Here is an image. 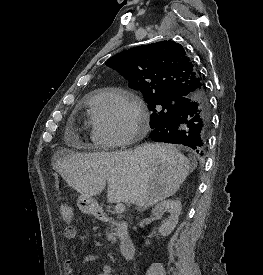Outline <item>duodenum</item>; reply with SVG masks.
<instances>
[{
  "mask_svg": "<svg viewBox=\"0 0 263 275\" xmlns=\"http://www.w3.org/2000/svg\"><path fill=\"white\" fill-rule=\"evenodd\" d=\"M102 219L104 221L113 223L119 232L120 238V252L123 258L131 259L135 254V244L129 233L128 223L124 220H115L107 215H103Z\"/></svg>",
  "mask_w": 263,
  "mask_h": 275,
  "instance_id": "obj_1",
  "label": "duodenum"
}]
</instances>
